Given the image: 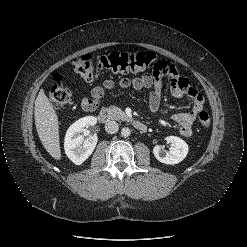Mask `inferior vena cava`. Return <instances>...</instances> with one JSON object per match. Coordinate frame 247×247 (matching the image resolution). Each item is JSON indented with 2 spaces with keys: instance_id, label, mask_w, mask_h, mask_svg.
Listing matches in <instances>:
<instances>
[{
  "instance_id": "obj_1",
  "label": "inferior vena cava",
  "mask_w": 247,
  "mask_h": 247,
  "mask_svg": "<svg viewBox=\"0 0 247 247\" xmlns=\"http://www.w3.org/2000/svg\"><path fill=\"white\" fill-rule=\"evenodd\" d=\"M105 130L109 134H114L119 130V125L115 121H107L105 124Z\"/></svg>"
}]
</instances>
